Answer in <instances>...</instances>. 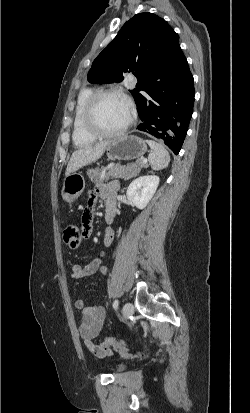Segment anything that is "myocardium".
I'll return each instance as SVG.
<instances>
[{
	"instance_id": "f54148a6",
	"label": "myocardium",
	"mask_w": 250,
	"mask_h": 413,
	"mask_svg": "<svg viewBox=\"0 0 250 413\" xmlns=\"http://www.w3.org/2000/svg\"><path fill=\"white\" fill-rule=\"evenodd\" d=\"M105 97H118L124 99L123 95L113 89H102L95 91L88 99L84 112H83V126L85 131L93 136L94 138L104 139V138H115L123 135L128 131V129L133 125L135 120V111L131 110V117L129 122L119 130L108 132L102 130L96 121V109L98 103Z\"/></svg>"
}]
</instances>
